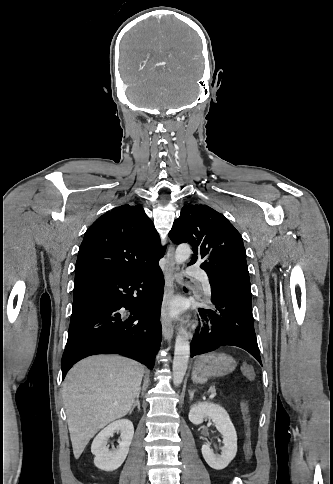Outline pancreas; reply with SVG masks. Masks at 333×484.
<instances>
[{
	"mask_svg": "<svg viewBox=\"0 0 333 484\" xmlns=\"http://www.w3.org/2000/svg\"><path fill=\"white\" fill-rule=\"evenodd\" d=\"M215 389L214 386H211L210 389H209V393H213L212 390Z\"/></svg>",
	"mask_w": 333,
	"mask_h": 484,
	"instance_id": "pancreas-1",
	"label": "pancreas"
}]
</instances>
